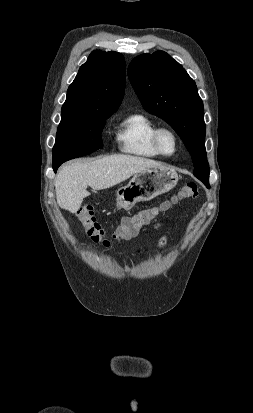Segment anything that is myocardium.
Listing matches in <instances>:
<instances>
[{
    "label": "myocardium",
    "mask_w": 253,
    "mask_h": 413,
    "mask_svg": "<svg viewBox=\"0 0 253 413\" xmlns=\"http://www.w3.org/2000/svg\"><path fill=\"white\" fill-rule=\"evenodd\" d=\"M164 132L169 133L173 137L174 142H175L174 151L170 154L165 153L161 148L160 136ZM152 144H153L155 150L159 153V155H162L164 157H171V156H173L177 153V151L179 149V145H180V140H179V137H178L177 133L171 127L158 126V127L155 128V130L152 133Z\"/></svg>",
    "instance_id": "1"
}]
</instances>
